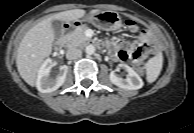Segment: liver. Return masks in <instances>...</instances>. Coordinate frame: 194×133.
<instances>
[{"label":"liver","instance_id":"6515ba94","mask_svg":"<svg viewBox=\"0 0 194 133\" xmlns=\"http://www.w3.org/2000/svg\"><path fill=\"white\" fill-rule=\"evenodd\" d=\"M101 10H91L90 14ZM85 10L73 9L52 14L33 26L21 40L17 49L16 65L22 79L30 86H35L36 77L44 60L52 52L55 33L52 21L72 22L82 18Z\"/></svg>","mask_w":194,"mask_h":133}]
</instances>
